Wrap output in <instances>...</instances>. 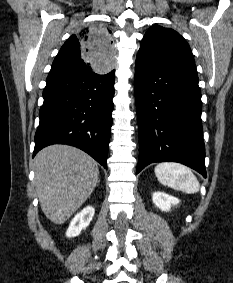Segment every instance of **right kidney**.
Instances as JSON below:
<instances>
[{
  "label": "right kidney",
  "instance_id": "right-kidney-1",
  "mask_svg": "<svg viewBox=\"0 0 233 283\" xmlns=\"http://www.w3.org/2000/svg\"><path fill=\"white\" fill-rule=\"evenodd\" d=\"M95 210L93 207H86L81 212L75 215L70 222L69 228L67 229V237L78 236L83 229H85L91 222L94 216Z\"/></svg>",
  "mask_w": 233,
  "mask_h": 283
}]
</instances>
